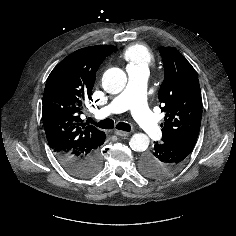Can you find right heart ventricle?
Returning a JSON list of instances; mask_svg holds the SVG:
<instances>
[{
	"mask_svg": "<svg viewBox=\"0 0 236 236\" xmlns=\"http://www.w3.org/2000/svg\"><path fill=\"white\" fill-rule=\"evenodd\" d=\"M127 61V67L148 68L154 63V55L148 47L143 44H133L128 46L122 54Z\"/></svg>",
	"mask_w": 236,
	"mask_h": 236,
	"instance_id": "e07e8e85",
	"label": "right heart ventricle"
}]
</instances>
